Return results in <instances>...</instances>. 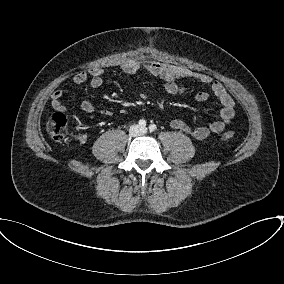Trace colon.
Here are the masks:
<instances>
[{
    "instance_id": "5ec220e1",
    "label": "colon",
    "mask_w": 284,
    "mask_h": 284,
    "mask_svg": "<svg viewBox=\"0 0 284 284\" xmlns=\"http://www.w3.org/2000/svg\"><path fill=\"white\" fill-rule=\"evenodd\" d=\"M68 121L64 114L57 112L50 116L47 121L46 128L51 137L55 140H62L67 134ZM234 137L232 131L225 132L222 139L227 141Z\"/></svg>"
}]
</instances>
